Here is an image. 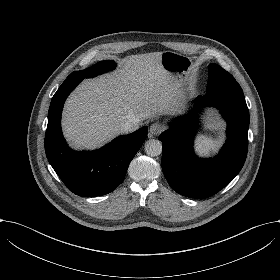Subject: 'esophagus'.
Instances as JSON below:
<instances>
[{
    "label": "esophagus",
    "mask_w": 280,
    "mask_h": 280,
    "mask_svg": "<svg viewBox=\"0 0 280 280\" xmlns=\"http://www.w3.org/2000/svg\"><path fill=\"white\" fill-rule=\"evenodd\" d=\"M165 129V125L161 124V123H153L151 126H150V136H155V135H158L159 133H161L162 131H164Z\"/></svg>",
    "instance_id": "obj_1"
}]
</instances>
